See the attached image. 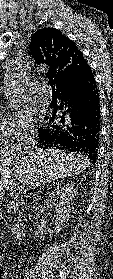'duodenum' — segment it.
Here are the masks:
<instances>
[{
  "label": "duodenum",
  "instance_id": "410a0bca",
  "mask_svg": "<svg viewBox=\"0 0 113 279\" xmlns=\"http://www.w3.org/2000/svg\"><path fill=\"white\" fill-rule=\"evenodd\" d=\"M27 231L26 216L23 212L19 213L18 219L12 229V237L15 241H20L25 237Z\"/></svg>",
  "mask_w": 113,
  "mask_h": 279
}]
</instances>
